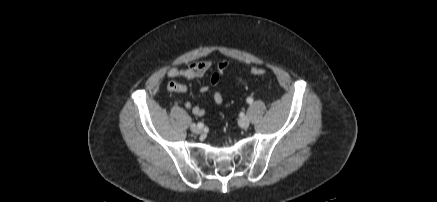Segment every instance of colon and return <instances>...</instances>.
<instances>
[{"label":"colon","mask_w":437,"mask_h":202,"mask_svg":"<svg viewBox=\"0 0 437 202\" xmlns=\"http://www.w3.org/2000/svg\"><path fill=\"white\" fill-rule=\"evenodd\" d=\"M250 74L253 76H264L266 71L263 68L253 67L250 69Z\"/></svg>","instance_id":"1"}]
</instances>
